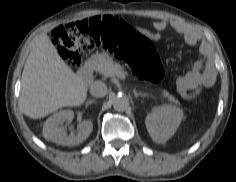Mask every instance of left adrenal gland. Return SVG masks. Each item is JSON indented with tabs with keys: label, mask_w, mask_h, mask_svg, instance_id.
<instances>
[{
	"label": "left adrenal gland",
	"mask_w": 236,
	"mask_h": 182,
	"mask_svg": "<svg viewBox=\"0 0 236 182\" xmlns=\"http://www.w3.org/2000/svg\"><path fill=\"white\" fill-rule=\"evenodd\" d=\"M133 93H134L135 98H138L139 96L146 97L149 95L148 93L137 92L136 89H133Z\"/></svg>",
	"instance_id": "1"
}]
</instances>
